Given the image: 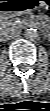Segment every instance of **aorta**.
I'll return each instance as SVG.
<instances>
[{"label":"aorta","mask_w":50,"mask_h":111,"mask_svg":"<svg viewBox=\"0 0 50 111\" xmlns=\"http://www.w3.org/2000/svg\"><path fill=\"white\" fill-rule=\"evenodd\" d=\"M24 35L28 40H35L38 37V32L36 29L30 28L25 31Z\"/></svg>","instance_id":"obj_1"}]
</instances>
